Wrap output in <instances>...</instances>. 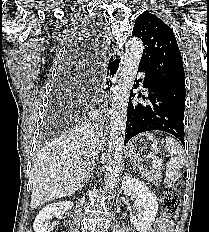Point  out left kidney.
I'll use <instances>...</instances> for the list:
<instances>
[{
  "label": "left kidney",
  "instance_id": "left-kidney-1",
  "mask_svg": "<svg viewBox=\"0 0 209 232\" xmlns=\"http://www.w3.org/2000/svg\"><path fill=\"white\" fill-rule=\"evenodd\" d=\"M123 194L135 196L139 206L138 214L131 218L134 227L140 232H146L155 220L158 211V202L154 193L138 179L126 174L122 180Z\"/></svg>",
  "mask_w": 209,
  "mask_h": 232
}]
</instances>
